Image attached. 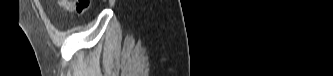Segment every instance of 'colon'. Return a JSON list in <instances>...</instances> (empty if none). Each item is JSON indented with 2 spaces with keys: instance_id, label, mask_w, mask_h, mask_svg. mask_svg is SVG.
Wrapping results in <instances>:
<instances>
[{
  "instance_id": "1",
  "label": "colon",
  "mask_w": 333,
  "mask_h": 76,
  "mask_svg": "<svg viewBox=\"0 0 333 76\" xmlns=\"http://www.w3.org/2000/svg\"><path fill=\"white\" fill-rule=\"evenodd\" d=\"M91 4V0H62L59 5L69 11H74L77 14L86 12Z\"/></svg>"
}]
</instances>
